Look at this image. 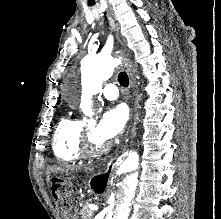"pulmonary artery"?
I'll return each mask as SVG.
<instances>
[{"instance_id": "e3ab8cb5", "label": "pulmonary artery", "mask_w": 221, "mask_h": 219, "mask_svg": "<svg viewBox=\"0 0 221 219\" xmlns=\"http://www.w3.org/2000/svg\"><path fill=\"white\" fill-rule=\"evenodd\" d=\"M102 94L108 100H115L119 96V91L114 84H107L103 87Z\"/></svg>"}]
</instances>
